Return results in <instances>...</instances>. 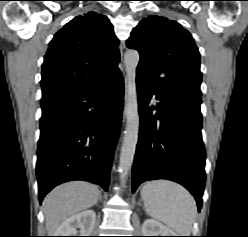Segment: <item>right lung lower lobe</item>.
<instances>
[{"instance_id":"98d812e1","label":"right lung lower lobe","mask_w":248,"mask_h":237,"mask_svg":"<svg viewBox=\"0 0 248 237\" xmlns=\"http://www.w3.org/2000/svg\"><path fill=\"white\" fill-rule=\"evenodd\" d=\"M123 96L118 71L87 88L41 100L36 164L40 203L55 186L71 180L89 181L107 191Z\"/></svg>"}]
</instances>
